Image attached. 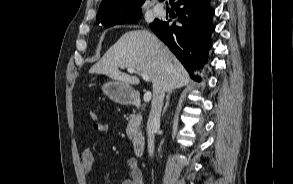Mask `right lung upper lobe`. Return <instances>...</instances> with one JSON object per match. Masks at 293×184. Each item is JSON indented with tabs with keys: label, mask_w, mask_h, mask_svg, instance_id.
I'll use <instances>...</instances> for the list:
<instances>
[{
	"label": "right lung upper lobe",
	"mask_w": 293,
	"mask_h": 184,
	"mask_svg": "<svg viewBox=\"0 0 293 184\" xmlns=\"http://www.w3.org/2000/svg\"><path fill=\"white\" fill-rule=\"evenodd\" d=\"M146 0H102L96 21L104 26L142 12Z\"/></svg>",
	"instance_id": "cb5924a9"
}]
</instances>
